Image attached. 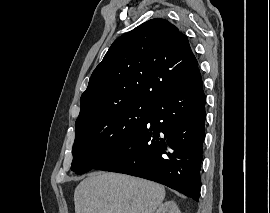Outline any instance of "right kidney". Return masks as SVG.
Returning a JSON list of instances; mask_svg holds the SVG:
<instances>
[{"label":"right kidney","instance_id":"obj_1","mask_svg":"<svg viewBox=\"0 0 270 213\" xmlns=\"http://www.w3.org/2000/svg\"><path fill=\"white\" fill-rule=\"evenodd\" d=\"M155 213H181L174 201H166L159 206Z\"/></svg>","mask_w":270,"mask_h":213}]
</instances>
